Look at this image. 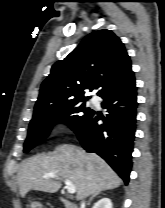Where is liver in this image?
Wrapping results in <instances>:
<instances>
[{
    "instance_id": "6515ba94",
    "label": "liver",
    "mask_w": 165,
    "mask_h": 208,
    "mask_svg": "<svg viewBox=\"0 0 165 208\" xmlns=\"http://www.w3.org/2000/svg\"><path fill=\"white\" fill-rule=\"evenodd\" d=\"M46 173L56 176L44 178ZM61 178L73 183L77 200L115 189L122 183L101 157L78 146L64 144L52 153L33 156L22 164L17 174L20 195L25 197L30 190L55 193L61 187Z\"/></svg>"
}]
</instances>
